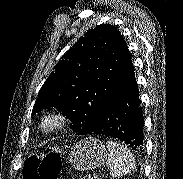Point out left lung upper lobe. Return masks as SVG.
<instances>
[{
	"mask_svg": "<svg viewBox=\"0 0 183 179\" xmlns=\"http://www.w3.org/2000/svg\"><path fill=\"white\" fill-rule=\"evenodd\" d=\"M127 47L112 25L90 29L59 60L44 85L32 115L54 107L89 134L108 108Z\"/></svg>",
	"mask_w": 183,
	"mask_h": 179,
	"instance_id": "1",
	"label": "left lung upper lobe"
}]
</instances>
